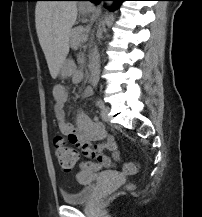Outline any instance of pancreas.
I'll use <instances>...</instances> for the list:
<instances>
[{"mask_svg":"<svg viewBox=\"0 0 202 217\" xmlns=\"http://www.w3.org/2000/svg\"><path fill=\"white\" fill-rule=\"evenodd\" d=\"M88 34L83 29V27H76L72 29L71 31V47L73 49H77L79 46H81L82 43H84L87 40Z\"/></svg>","mask_w":202,"mask_h":217,"instance_id":"1","label":"pancreas"}]
</instances>
